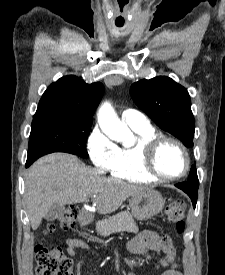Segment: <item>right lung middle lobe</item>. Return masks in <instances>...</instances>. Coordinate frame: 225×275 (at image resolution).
Here are the masks:
<instances>
[{
	"label": "right lung middle lobe",
	"instance_id": "1",
	"mask_svg": "<svg viewBox=\"0 0 225 275\" xmlns=\"http://www.w3.org/2000/svg\"><path fill=\"white\" fill-rule=\"evenodd\" d=\"M92 120L51 117L33 119L29 137L27 161L52 152H67L88 157L86 141Z\"/></svg>",
	"mask_w": 225,
	"mask_h": 275
}]
</instances>
